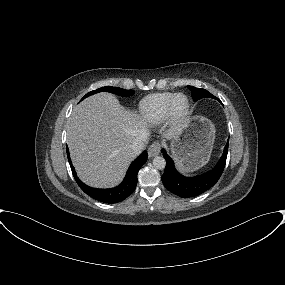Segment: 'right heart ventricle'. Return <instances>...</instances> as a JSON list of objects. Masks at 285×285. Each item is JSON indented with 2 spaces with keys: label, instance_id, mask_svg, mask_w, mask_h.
Listing matches in <instances>:
<instances>
[{
  "label": "right heart ventricle",
  "instance_id": "obj_1",
  "mask_svg": "<svg viewBox=\"0 0 285 285\" xmlns=\"http://www.w3.org/2000/svg\"><path fill=\"white\" fill-rule=\"evenodd\" d=\"M176 93H158L145 98L140 104V112L145 121L159 124L168 118L169 105Z\"/></svg>",
  "mask_w": 285,
  "mask_h": 285
}]
</instances>
